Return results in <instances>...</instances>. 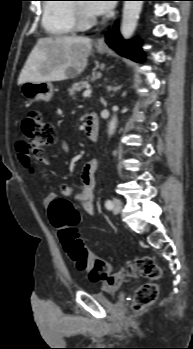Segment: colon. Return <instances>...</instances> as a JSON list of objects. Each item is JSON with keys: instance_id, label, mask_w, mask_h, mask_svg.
<instances>
[{"instance_id": "obj_1", "label": "colon", "mask_w": 193, "mask_h": 349, "mask_svg": "<svg viewBox=\"0 0 193 349\" xmlns=\"http://www.w3.org/2000/svg\"><path fill=\"white\" fill-rule=\"evenodd\" d=\"M23 143L29 156L40 158L46 147L52 146L57 139L55 127L45 120L40 112L30 111L22 122ZM51 224L58 231L59 238L69 258L76 267L86 272L91 281L108 279L111 264L94 256L79 237L77 225L80 212L76 205L65 198H56L48 206ZM137 273L148 282L142 284L134 296V308L142 310L158 297L157 280L161 277V268L150 256H138L134 260Z\"/></svg>"}]
</instances>
